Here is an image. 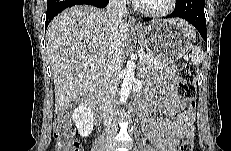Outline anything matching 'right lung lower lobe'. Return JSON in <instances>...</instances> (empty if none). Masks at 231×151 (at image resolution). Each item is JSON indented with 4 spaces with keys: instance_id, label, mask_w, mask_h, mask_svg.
<instances>
[{
    "instance_id": "obj_1",
    "label": "right lung lower lobe",
    "mask_w": 231,
    "mask_h": 151,
    "mask_svg": "<svg viewBox=\"0 0 231 151\" xmlns=\"http://www.w3.org/2000/svg\"><path fill=\"white\" fill-rule=\"evenodd\" d=\"M108 2L109 0H48L45 29H47L49 22L53 19L54 16L68 7L87 4L99 8H105Z\"/></svg>"
}]
</instances>
